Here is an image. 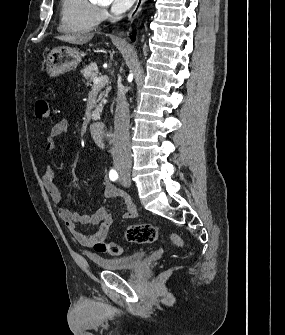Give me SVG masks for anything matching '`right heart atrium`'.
Wrapping results in <instances>:
<instances>
[{
	"label": "right heart atrium",
	"instance_id": "right-heart-atrium-1",
	"mask_svg": "<svg viewBox=\"0 0 285 335\" xmlns=\"http://www.w3.org/2000/svg\"><path fill=\"white\" fill-rule=\"evenodd\" d=\"M96 16L99 22L103 21L107 16L106 8L104 6L98 7L96 11Z\"/></svg>",
	"mask_w": 285,
	"mask_h": 335
}]
</instances>
